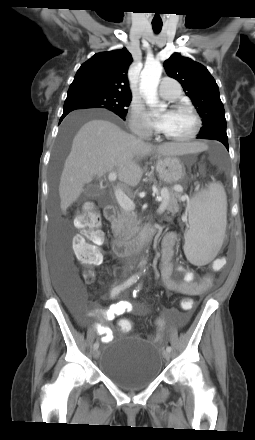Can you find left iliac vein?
<instances>
[{"label":"left iliac vein","mask_w":255,"mask_h":440,"mask_svg":"<svg viewBox=\"0 0 255 440\" xmlns=\"http://www.w3.org/2000/svg\"><path fill=\"white\" fill-rule=\"evenodd\" d=\"M163 356H164V358H165L166 360H168V359H170V356H171V355H170V352L166 350V351L163 352Z\"/></svg>","instance_id":"left-iliac-vein-1"}]
</instances>
